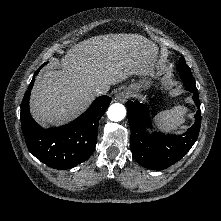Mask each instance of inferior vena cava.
<instances>
[{"instance_id": "602c4592", "label": "inferior vena cava", "mask_w": 221, "mask_h": 221, "mask_svg": "<svg viewBox=\"0 0 221 221\" xmlns=\"http://www.w3.org/2000/svg\"><path fill=\"white\" fill-rule=\"evenodd\" d=\"M105 92L102 90V89H100V88H98V89H96V94H104Z\"/></svg>"}]
</instances>
